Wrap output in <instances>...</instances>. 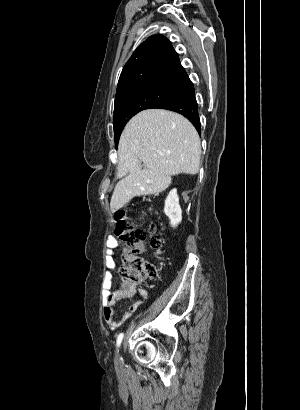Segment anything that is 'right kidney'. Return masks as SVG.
<instances>
[{"mask_svg": "<svg viewBox=\"0 0 300 410\" xmlns=\"http://www.w3.org/2000/svg\"><path fill=\"white\" fill-rule=\"evenodd\" d=\"M164 213L170 219L172 227H176L182 221V210L176 189L171 190L168 194L165 200Z\"/></svg>", "mask_w": 300, "mask_h": 410, "instance_id": "1", "label": "right kidney"}]
</instances>
